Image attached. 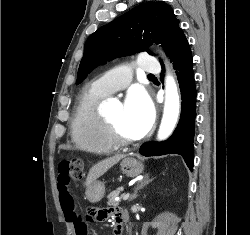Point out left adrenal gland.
<instances>
[{
    "label": "left adrenal gland",
    "instance_id": "1",
    "mask_svg": "<svg viewBox=\"0 0 250 235\" xmlns=\"http://www.w3.org/2000/svg\"><path fill=\"white\" fill-rule=\"evenodd\" d=\"M153 179H149V175L146 174L144 179L140 181V183L138 184V186L135 188L134 194L130 197L129 201H132L134 199L137 198L138 196V191L140 189H142L144 186H146L147 184H149L150 182H152Z\"/></svg>",
    "mask_w": 250,
    "mask_h": 235
}]
</instances>
